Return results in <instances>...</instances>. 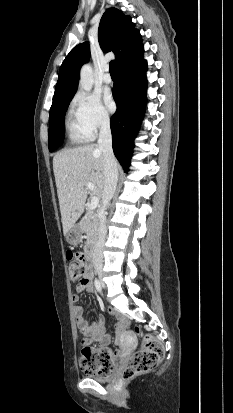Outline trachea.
I'll return each instance as SVG.
<instances>
[{
    "label": "trachea",
    "mask_w": 233,
    "mask_h": 413,
    "mask_svg": "<svg viewBox=\"0 0 233 413\" xmlns=\"http://www.w3.org/2000/svg\"><path fill=\"white\" fill-rule=\"evenodd\" d=\"M110 74H116V62L112 60L109 64Z\"/></svg>",
    "instance_id": "3493384b"
}]
</instances>
